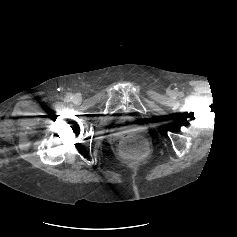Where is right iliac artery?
<instances>
[{
    "mask_svg": "<svg viewBox=\"0 0 237 237\" xmlns=\"http://www.w3.org/2000/svg\"><path fill=\"white\" fill-rule=\"evenodd\" d=\"M65 99H66V101L69 102V101H71L73 99V96L71 94H69V95L66 96Z\"/></svg>",
    "mask_w": 237,
    "mask_h": 237,
    "instance_id": "82829eb1",
    "label": "right iliac artery"
}]
</instances>
